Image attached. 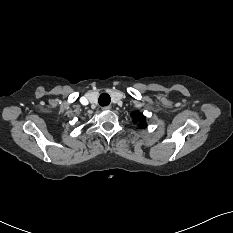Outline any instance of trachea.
Instances as JSON below:
<instances>
[{
	"label": "trachea",
	"mask_w": 233,
	"mask_h": 233,
	"mask_svg": "<svg viewBox=\"0 0 233 233\" xmlns=\"http://www.w3.org/2000/svg\"><path fill=\"white\" fill-rule=\"evenodd\" d=\"M110 96L107 94V93H102L100 96H99V104L101 106H107L110 104Z\"/></svg>",
	"instance_id": "1"
}]
</instances>
